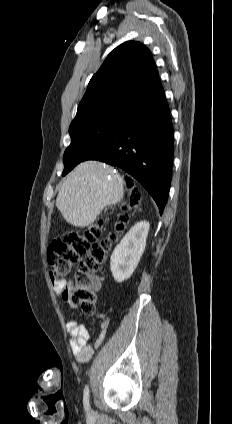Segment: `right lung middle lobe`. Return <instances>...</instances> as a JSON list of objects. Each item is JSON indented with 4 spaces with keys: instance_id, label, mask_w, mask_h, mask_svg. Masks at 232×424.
I'll use <instances>...</instances> for the list:
<instances>
[{
    "instance_id": "1",
    "label": "right lung middle lobe",
    "mask_w": 232,
    "mask_h": 424,
    "mask_svg": "<svg viewBox=\"0 0 232 424\" xmlns=\"http://www.w3.org/2000/svg\"><path fill=\"white\" fill-rule=\"evenodd\" d=\"M131 107L128 104L109 103L77 113L69 127L71 144L64 153L62 175L84 161L106 137L126 123Z\"/></svg>"
}]
</instances>
